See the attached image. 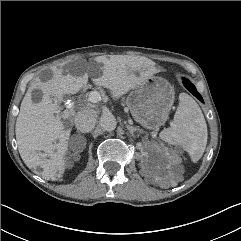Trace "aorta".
Wrapping results in <instances>:
<instances>
[{
	"instance_id": "obj_1",
	"label": "aorta",
	"mask_w": 241,
	"mask_h": 241,
	"mask_svg": "<svg viewBox=\"0 0 241 241\" xmlns=\"http://www.w3.org/2000/svg\"><path fill=\"white\" fill-rule=\"evenodd\" d=\"M101 128L105 131H113L116 128V118L111 113L103 114L99 119Z\"/></svg>"
}]
</instances>
